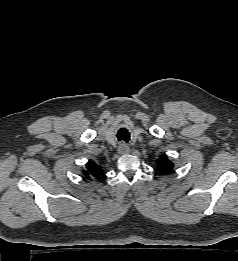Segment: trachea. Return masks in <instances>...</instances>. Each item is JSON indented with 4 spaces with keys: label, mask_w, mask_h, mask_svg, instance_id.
<instances>
[{
    "label": "trachea",
    "mask_w": 238,
    "mask_h": 261,
    "mask_svg": "<svg viewBox=\"0 0 238 261\" xmlns=\"http://www.w3.org/2000/svg\"><path fill=\"white\" fill-rule=\"evenodd\" d=\"M117 138L119 141L128 142L130 140V133L126 128H121L118 130Z\"/></svg>",
    "instance_id": "trachea-1"
}]
</instances>
